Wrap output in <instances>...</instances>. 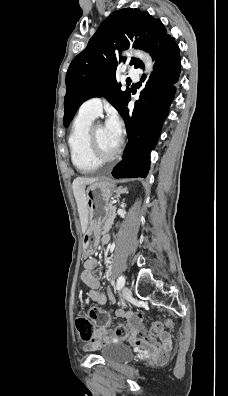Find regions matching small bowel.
I'll list each match as a JSON object with an SVG mask.
<instances>
[{
    "label": "small bowel",
    "instance_id": "obj_1",
    "mask_svg": "<svg viewBox=\"0 0 228 396\" xmlns=\"http://www.w3.org/2000/svg\"><path fill=\"white\" fill-rule=\"evenodd\" d=\"M109 236H104L102 244L107 246L109 244ZM97 259L89 257L84 262V269L81 274V280L89 287L87 296L90 300L99 305H104L108 301H114V297L108 290L106 294L99 291L100 281L95 275V268L97 266ZM118 316L124 317L127 320L128 329L132 336V341L137 345H145L149 348L152 359L157 364H165L170 358L172 350L171 337L167 332H162L159 335L160 341L152 337L142 325V314L132 311L119 310ZM139 335L140 338H136ZM119 337L110 328L100 327L92 340L85 345V349H95L110 341H118Z\"/></svg>",
    "mask_w": 228,
    "mask_h": 396
}]
</instances>
